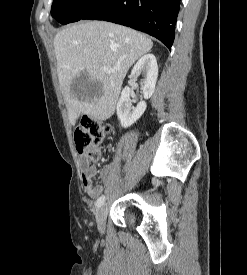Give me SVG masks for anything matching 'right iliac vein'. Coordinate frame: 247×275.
Instances as JSON below:
<instances>
[{
    "label": "right iliac vein",
    "mask_w": 247,
    "mask_h": 275,
    "mask_svg": "<svg viewBox=\"0 0 247 275\" xmlns=\"http://www.w3.org/2000/svg\"><path fill=\"white\" fill-rule=\"evenodd\" d=\"M107 213H108V208L106 204L102 205L97 210L96 221H97V227L100 233H103L105 230Z\"/></svg>",
    "instance_id": "1"
}]
</instances>
